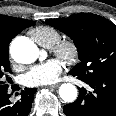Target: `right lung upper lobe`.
I'll return each instance as SVG.
<instances>
[{"instance_id": "cb5924a9", "label": "right lung upper lobe", "mask_w": 116, "mask_h": 116, "mask_svg": "<svg viewBox=\"0 0 116 116\" xmlns=\"http://www.w3.org/2000/svg\"><path fill=\"white\" fill-rule=\"evenodd\" d=\"M30 20L0 15V46L9 47L11 39L25 28L32 26Z\"/></svg>"}]
</instances>
